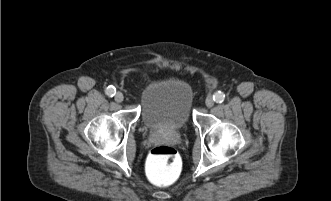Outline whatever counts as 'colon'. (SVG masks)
Here are the masks:
<instances>
[{"label": "colon", "instance_id": "5ec220e1", "mask_svg": "<svg viewBox=\"0 0 331 201\" xmlns=\"http://www.w3.org/2000/svg\"><path fill=\"white\" fill-rule=\"evenodd\" d=\"M182 161L176 149L167 145L151 149L146 161V174L157 186L173 184L180 176Z\"/></svg>", "mask_w": 331, "mask_h": 201}]
</instances>
